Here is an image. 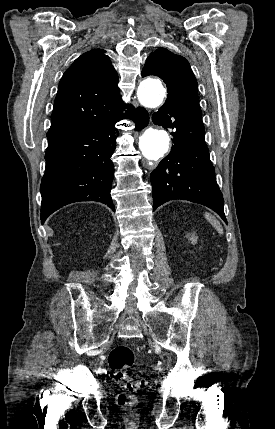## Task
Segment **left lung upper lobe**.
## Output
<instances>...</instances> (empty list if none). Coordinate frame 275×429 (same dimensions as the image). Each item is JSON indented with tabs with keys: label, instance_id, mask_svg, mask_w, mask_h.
I'll return each mask as SVG.
<instances>
[{
	"label": "left lung upper lobe",
	"instance_id": "5c2ea615",
	"mask_svg": "<svg viewBox=\"0 0 275 429\" xmlns=\"http://www.w3.org/2000/svg\"><path fill=\"white\" fill-rule=\"evenodd\" d=\"M141 75H156L166 83L168 96L165 103L189 108L201 114L197 80L184 57L165 48H158L149 55Z\"/></svg>",
	"mask_w": 275,
	"mask_h": 429
}]
</instances>
